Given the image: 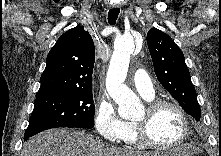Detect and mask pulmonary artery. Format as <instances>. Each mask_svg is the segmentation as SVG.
<instances>
[{"label":"pulmonary artery","instance_id":"obj_1","mask_svg":"<svg viewBox=\"0 0 221 156\" xmlns=\"http://www.w3.org/2000/svg\"><path fill=\"white\" fill-rule=\"evenodd\" d=\"M135 89L146 99H153L155 96L154 87L149 75L143 69H138L133 76Z\"/></svg>","mask_w":221,"mask_h":156}]
</instances>
